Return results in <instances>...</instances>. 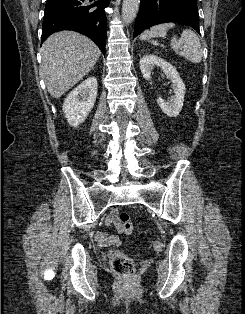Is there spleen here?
<instances>
[{
  "instance_id": "obj_1",
  "label": "spleen",
  "mask_w": 245,
  "mask_h": 314,
  "mask_svg": "<svg viewBox=\"0 0 245 314\" xmlns=\"http://www.w3.org/2000/svg\"><path fill=\"white\" fill-rule=\"evenodd\" d=\"M175 26L174 23H162L152 26L140 35L141 40L154 37H166L167 30ZM181 46H185L182 50ZM171 47L174 52L187 59L192 63H199L202 60V47L199 37L193 31L184 29L181 37L177 39L175 36L171 39Z\"/></svg>"
}]
</instances>
